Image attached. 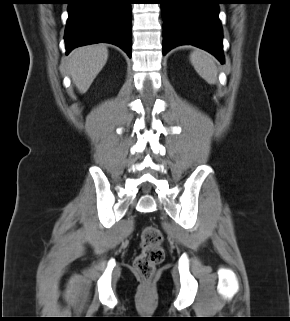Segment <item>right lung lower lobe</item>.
Returning <instances> with one entry per match:
<instances>
[{
	"label": "right lung lower lobe",
	"instance_id": "obj_1",
	"mask_svg": "<svg viewBox=\"0 0 290 321\" xmlns=\"http://www.w3.org/2000/svg\"><path fill=\"white\" fill-rule=\"evenodd\" d=\"M68 5L66 54L79 46L107 42L131 57L130 0H69Z\"/></svg>",
	"mask_w": 290,
	"mask_h": 321
}]
</instances>
